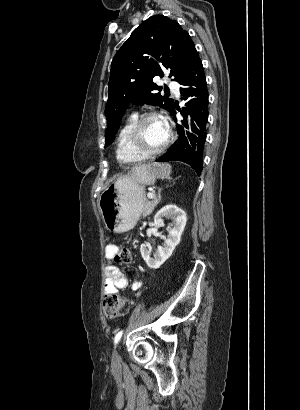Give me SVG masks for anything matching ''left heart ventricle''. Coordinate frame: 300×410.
<instances>
[{
	"label": "left heart ventricle",
	"mask_w": 300,
	"mask_h": 410,
	"mask_svg": "<svg viewBox=\"0 0 300 410\" xmlns=\"http://www.w3.org/2000/svg\"><path fill=\"white\" fill-rule=\"evenodd\" d=\"M168 130L160 119H150L144 123L141 131L144 146L149 149L160 147L166 140Z\"/></svg>",
	"instance_id": "b2bd125f"
}]
</instances>
